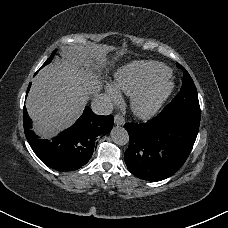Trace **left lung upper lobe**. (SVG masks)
Returning a JSON list of instances; mask_svg holds the SVG:
<instances>
[{"instance_id":"obj_1","label":"left lung upper lobe","mask_w":228,"mask_h":228,"mask_svg":"<svg viewBox=\"0 0 228 228\" xmlns=\"http://www.w3.org/2000/svg\"><path fill=\"white\" fill-rule=\"evenodd\" d=\"M177 67L183 70L182 87L172 102L163 109L162 115L167 118L182 117L200 121L201 112L196 87L188 72L179 64Z\"/></svg>"}]
</instances>
